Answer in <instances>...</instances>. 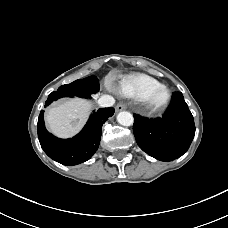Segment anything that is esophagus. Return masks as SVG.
I'll return each instance as SVG.
<instances>
[{
    "label": "esophagus",
    "instance_id": "34e87169",
    "mask_svg": "<svg viewBox=\"0 0 228 228\" xmlns=\"http://www.w3.org/2000/svg\"><path fill=\"white\" fill-rule=\"evenodd\" d=\"M124 109H126V105L125 104L119 103V104L116 105V111L117 112H120V111H122Z\"/></svg>",
    "mask_w": 228,
    "mask_h": 228
}]
</instances>
